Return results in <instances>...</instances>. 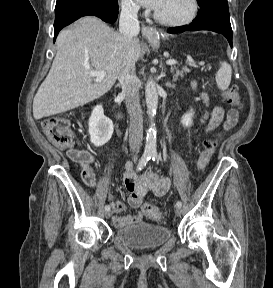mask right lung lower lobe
<instances>
[{"label": "right lung lower lobe", "mask_w": 273, "mask_h": 288, "mask_svg": "<svg viewBox=\"0 0 273 288\" xmlns=\"http://www.w3.org/2000/svg\"><path fill=\"white\" fill-rule=\"evenodd\" d=\"M97 16L103 21L113 23L118 17V9L109 10L98 6H86V7H70L63 8L55 12V23H54V42L59 31L83 16Z\"/></svg>", "instance_id": "98d812e1"}]
</instances>
